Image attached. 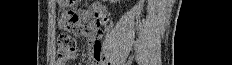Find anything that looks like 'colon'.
Here are the masks:
<instances>
[{"label": "colon", "instance_id": "5ec220e1", "mask_svg": "<svg viewBox=\"0 0 232 65\" xmlns=\"http://www.w3.org/2000/svg\"><path fill=\"white\" fill-rule=\"evenodd\" d=\"M77 46V40L70 34L62 33L58 37V54L59 56H65L68 53L75 50Z\"/></svg>", "mask_w": 232, "mask_h": 65}]
</instances>
